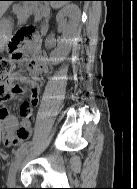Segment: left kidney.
Masks as SVG:
<instances>
[{"mask_svg":"<svg viewBox=\"0 0 137 189\" xmlns=\"http://www.w3.org/2000/svg\"><path fill=\"white\" fill-rule=\"evenodd\" d=\"M77 9L76 7H74L73 5H68L67 7H65L64 9H62L58 14H57V22L60 23L62 31H64L65 26H66V22H65V17H71V18H76L77 17ZM66 54H62L60 56H56V55H52V57L50 58L51 61L57 63L59 61H61L64 56Z\"/></svg>","mask_w":137,"mask_h":189,"instance_id":"5707ae66","label":"left kidney"}]
</instances>
